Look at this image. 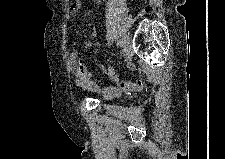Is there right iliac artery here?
<instances>
[{
  "instance_id": "82829eb1",
  "label": "right iliac artery",
  "mask_w": 225,
  "mask_h": 159,
  "mask_svg": "<svg viewBox=\"0 0 225 159\" xmlns=\"http://www.w3.org/2000/svg\"><path fill=\"white\" fill-rule=\"evenodd\" d=\"M116 45H117V46H121V40H117V41H116Z\"/></svg>"
}]
</instances>
